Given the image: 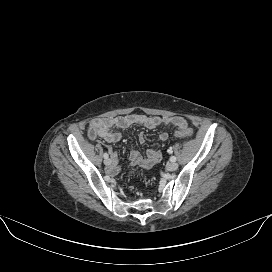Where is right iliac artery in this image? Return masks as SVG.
<instances>
[{
  "label": "right iliac artery",
  "mask_w": 272,
  "mask_h": 272,
  "mask_svg": "<svg viewBox=\"0 0 272 272\" xmlns=\"http://www.w3.org/2000/svg\"><path fill=\"white\" fill-rule=\"evenodd\" d=\"M103 157H104L105 159H107V158L109 157V155H108L107 153H104Z\"/></svg>",
  "instance_id": "82829eb1"
}]
</instances>
